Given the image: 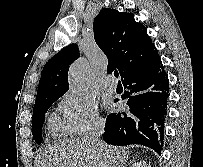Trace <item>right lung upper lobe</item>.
<instances>
[{"mask_svg":"<svg viewBox=\"0 0 203 167\" xmlns=\"http://www.w3.org/2000/svg\"><path fill=\"white\" fill-rule=\"evenodd\" d=\"M93 29L97 45L108 57L107 70L117 68L121 79L159 58L146 27L135 22L132 13L102 9L94 19ZM79 56L78 46L70 44L44 65L35 105L68 91L69 65Z\"/></svg>","mask_w":203,"mask_h":167,"instance_id":"right-lung-upper-lobe-1","label":"right lung upper lobe"}]
</instances>
